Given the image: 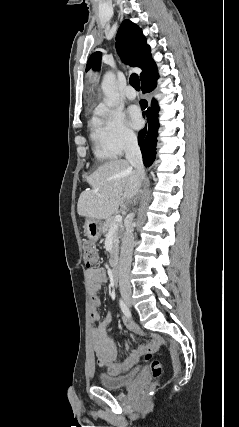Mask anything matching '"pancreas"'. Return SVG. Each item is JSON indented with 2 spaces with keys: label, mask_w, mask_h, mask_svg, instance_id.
Wrapping results in <instances>:
<instances>
[{
  "label": "pancreas",
  "mask_w": 239,
  "mask_h": 427,
  "mask_svg": "<svg viewBox=\"0 0 239 427\" xmlns=\"http://www.w3.org/2000/svg\"><path fill=\"white\" fill-rule=\"evenodd\" d=\"M114 223H115V221H114L113 217L107 219L104 222V224H103L102 232L104 234H106L110 230L111 226ZM122 233H123V228L122 227L118 228L115 231V233H114V237H113V249H112V251L110 253V260H109V263H110L111 266H113L115 264L116 260H117L118 252H119V238L121 237Z\"/></svg>",
  "instance_id": "cf45deb5"
}]
</instances>
